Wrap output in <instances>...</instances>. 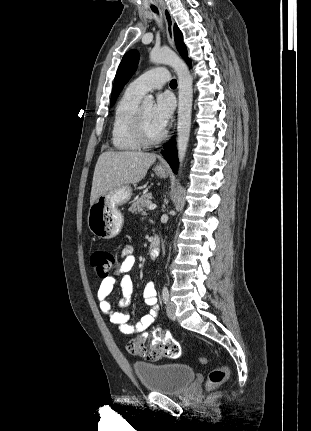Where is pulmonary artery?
<instances>
[{
	"label": "pulmonary artery",
	"mask_w": 311,
	"mask_h": 431,
	"mask_svg": "<svg viewBox=\"0 0 311 431\" xmlns=\"http://www.w3.org/2000/svg\"><path fill=\"white\" fill-rule=\"evenodd\" d=\"M170 78L171 76L165 68L156 67L136 78L127 89L134 94L143 96L150 90L161 88Z\"/></svg>",
	"instance_id": "obj_1"
}]
</instances>
